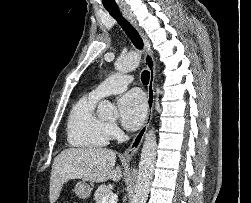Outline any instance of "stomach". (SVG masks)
<instances>
[{
    "instance_id": "stomach-1",
    "label": "stomach",
    "mask_w": 251,
    "mask_h": 203,
    "mask_svg": "<svg viewBox=\"0 0 251 203\" xmlns=\"http://www.w3.org/2000/svg\"><path fill=\"white\" fill-rule=\"evenodd\" d=\"M74 191L78 198L84 200L90 197L92 187L85 180H81L77 182Z\"/></svg>"
}]
</instances>
